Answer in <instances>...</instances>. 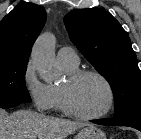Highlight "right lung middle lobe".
Masks as SVG:
<instances>
[{"label": "right lung middle lobe", "instance_id": "right-lung-middle-lobe-1", "mask_svg": "<svg viewBox=\"0 0 141 139\" xmlns=\"http://www.w3.org/2000/svg\"><path fill=\"white\" fill-rule=\"evenodd\" d=\"M25 63H0V106L31 102L25 85Z\"/></svg>", "mask_w": 141, "mask_h": 139}]
</instances>
